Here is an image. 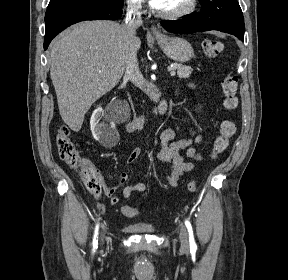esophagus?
Instances as JSON below:
<instances>
[{"label": "esophagus", "instance_id": "obj_1", "mask_svg": "<svg viewBox=\"0 0 288 280\" xmlns=\"http://www.w3.org/2000/svg\"><path fill=\"white\" fill-rule=\"evenodd\" d=\"M151 31H152V33H153L155 36H157V37H159V36L162 35V33H161V32L158 30V28H157L156 26H154V25L151 26Z\"/></svg>", "mask_w": 288, "mask_h": 280}]
</instances>
